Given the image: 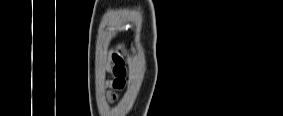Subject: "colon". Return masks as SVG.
I'll use <instances>...</instances> for the list:
<instances>
[{
  "label": "colon",
  "mask_w": 283,
  "mask_h": 116,
  "mask_svg": "<svg viewBox=\"0 0 283 116\" xmlns=\"http://www.w3.org/2000/svg\"><path fill=\"white\" fill-rule=\"evenodd\" d=\"M125 76H126V75H124V76H116V80H115V82H114V86H115L116 88H122V87L125 86V84H126ZM111 99H112L113 101H116V99H117L116 94L113 93V94L111 95Z\"/></svg>",
  "instance_id": "5ec220e1"
}]
</instances>
